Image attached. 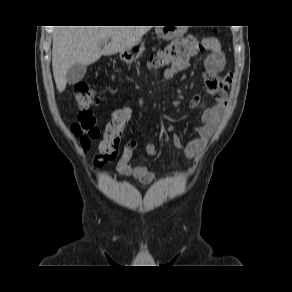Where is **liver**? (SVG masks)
<instances>
[{
  "label": "liver",
  "instance_id": "obj_1",
  "mask_svg": "<svg viewBox=\"0 0 292 292\" xmlns=\"http://www.w3.org/2000/svg\"><path fill=\"white\" fill-rule=\"evenodd\" d=\"M148 26H58L53 34L52 69L59 92L75 64L90 65L102 55L121 53L141 40ZM111 39L103 49L102 43Z\"/></svg>",
  "mask_w": 292,
  "mask_h": 292
}]
</instances>
